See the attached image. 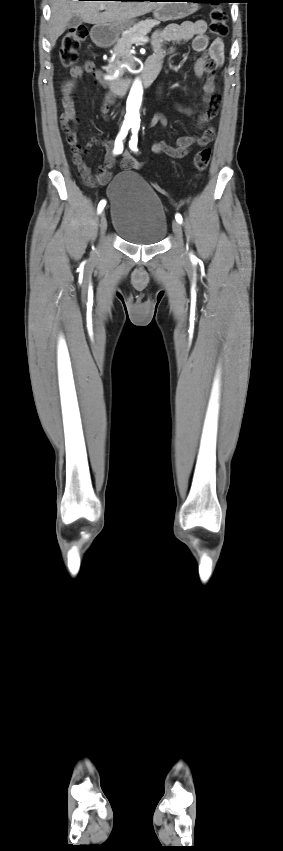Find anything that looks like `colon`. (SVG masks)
I'll return each mask as SVG.
<instances>
[{
    "label": "colon",
    "mask_w": 283,
    "mask_h": 851,
    "mask_svg": "<svg viewBox=\"0 0 283 851\" xmlns=\"http://www.w3.org/2000/svg\"><path fill=\"white\" fill-rule=\"evenodd\" d=\"M210 17V26L209 31L210 34L214 37H222L227 35L228 27H227V15L226 12L221 7H214L209 14ZM88 28L85 25H79L67 33H65L61 40V46L59 50V60L63 66H72L78 60L79 56V48L83 41L88 37ZM211 159V149L203 148L199 150L193 160L194 168L201 172L206 169ZM157 191L164 197H170V193L161 188L160 186H156Z\"/></svg>",
    "instance_id": "obj_1"
}]
</instances>
